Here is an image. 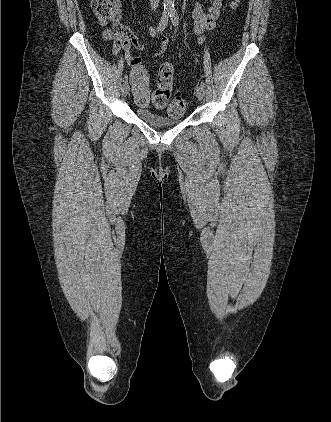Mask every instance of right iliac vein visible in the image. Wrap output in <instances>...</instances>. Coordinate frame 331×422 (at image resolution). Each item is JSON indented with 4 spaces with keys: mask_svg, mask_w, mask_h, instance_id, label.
Listing matches in <instances>:
<instances>
[{
    "mask_svg": "<svg viewBox=\"0 0 331 422\" xmlns=\"http://www.w3.org/2000/svg\"><path fill=\"white\" fill-rule=\"evenodd\" d=\"M129 90H130V86H129V84H128V83H125V84L122 86V90H121V92H122V96L126 97V96L128 95V93H129Z\"/></svg>",
    "mask_w": 331,
    "mask_h": 422,
    "instance_id": "right-iliac-vein-1",
    "label": "right iliac vein"
}]
</instances>
